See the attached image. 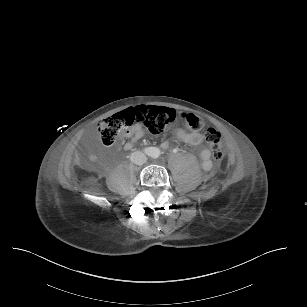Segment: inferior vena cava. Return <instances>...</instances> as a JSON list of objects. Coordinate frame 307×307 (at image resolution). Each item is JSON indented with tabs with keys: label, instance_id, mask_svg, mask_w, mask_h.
I'll return each mask as SVG.
<instances>
[{
	"label": "inferior vena cava",
	"instance_id": "602c4592",
	"mask_svg": "<svg viewBox=\"0 0 307 307\" xmlns=\"http://www.w3.org/2000/svg\"><path fill=\"white\" fill-rule=\"evenodd\" d=\"M146 156L144 153L140 151L133 152L131 154V162H133L136 165H143L146 162Z\"/></svg>",
	"mask_w": 307,
	"mask_h": 307
}]
</instances>
